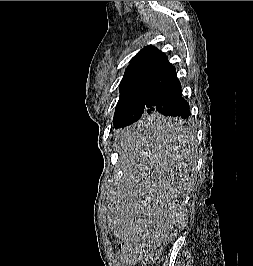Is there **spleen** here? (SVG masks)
Returning <instances> with one entry per match:
<instances>
[{"label": "spleen", "mask_w": 253, "mask_h": 266, "mask_svg": "<svg viewBox=\"0 0 253 266\" xmlns=\"http://www.w3.org/2000/svg\"><path fill=\"white\" fill-rule=\"evenodd\" d=\"M150 123H134L129 132L116 135L114 155L121 161V184L125 190H110V199H121L109 208L115 241L123 248H165L172 235H182L186 218L187 188L194 182L186 141L188 123L178 115L158 111Z\"/></svg>", "instance_id": "spleen-1"}]
</instances>
